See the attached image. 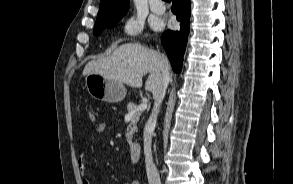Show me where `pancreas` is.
Returning a JSON list of instances; mask_svg holds the SVG:
<instances>
[{
	"label": "pancreas",
	"instance_id": "pancreas-1",
	"mask_svg": "<svg viewBox=\"0 0 293 184\" xmlns=\"http://www.w3.org/2000/svg\"><path fill=\"white\" fill-rule=\"evenodd\" d=\"M127 110L128 112H134L133 117L127 127V133H126V140L129 144L132 143V137L135 131H137V123L139 121L141 111L137 110V106L133 102H129L127 104Z\"/></svg>",
	"mask_w": 293,
	"mask_h": 184
}]
</instances>
